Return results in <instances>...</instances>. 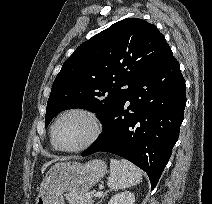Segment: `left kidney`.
I'll return each mask as SVG.
<instances>
[{"instance_id":"1","label":"left kidney","mask_w":212,"mask_h":204,"mask_svg":"<svg viewBox=\"0 0 212 204\" xmlns=\"http://www.w3.org/2000/svg\"><path fill=\"white\" fill-rule=\"evenodd\" d=\"M135 196L130 191H123L114 195L108 204H134Z\"/></svg>"}]
</instances>
